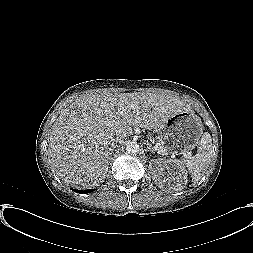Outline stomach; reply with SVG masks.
I'll return each instance as SVG.
<instances>
[{"mask_svg": "<svg viewBox=\"0 0 253 253\" xmlns=\"http://www.w3.org/2000/svg\"><path fill=\"white\" fill-rule=\"evenodd\" d=\"M202 135L201 119L193 111L178 112L158 128V139L164 149L178 155L198 146Z\"/></svg>", "mask_w": 253, "mask_h": 253, "instance_id": "0dacf381", "label": "stomach"}]
</instances>
